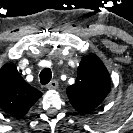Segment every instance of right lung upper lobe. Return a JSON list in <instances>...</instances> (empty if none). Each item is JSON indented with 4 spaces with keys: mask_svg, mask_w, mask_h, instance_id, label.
<instances>
[{
    "mask_svg": "<svg viewBox=\"0 0 133 133\" xmlns=\"http://www.w3.org/2000/svg\"><path fill=\"white\" fill-rule=\"evenodd\" d=\"M41 96L11 63L0 69V107L6 113L21 118Z\"/></svg>",
    "mask_w": 133,
    "mask_h": 133,
    "instance_id": "right-lung-upper-lobe-1",
    "label": "right lung upper lobe"
}]
</instances>
